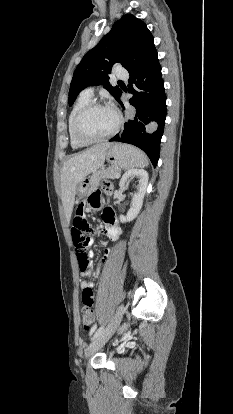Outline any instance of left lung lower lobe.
<instances>
[{
    "label": "left lung lower lobe",
    "mask_w": 233,
    "mask_h": 414,
    "mask_svg": "<svg viewBox=\"0 0 233 414\" xmlns=\"http://www.w3.org/2000/svg\"><path fill=\"white\" fill-rule=\"evenodd\" d=\"M129 74V93L133 94L129 102L135 107L136 114L125 123L123 132L110 141L139 147L156 166L167 115L164 82L157 52L140 68ZM118 102L124 109L120 99Z\"/></svg>",
    "instance_id": "left-lung-lower-lobe-1"
}]
</instances>
